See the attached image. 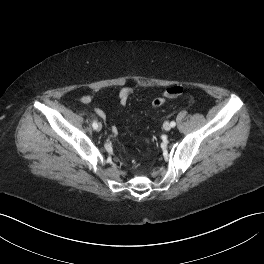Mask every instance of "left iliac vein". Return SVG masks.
Masks as SVG:
<instances>
[{
  "mask_svg": "<svg viewBox=\"0 0 264 264\" xmlns=\"http://www.w3.org/2000/svg\"><path fill=\"white\" fill-rule=\"evenodd\" d=\"M163 128H164V130L169 131V130L171 129V125H170V123H169V122H165V123L163 124Z\"/></svg>",
  "mask_w": 264,
  "mask_h": 264,
  "instance_id": "4c4485c4",
  "label": "left iliac vein"
}]
</instances>
